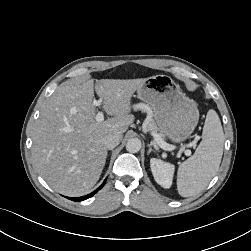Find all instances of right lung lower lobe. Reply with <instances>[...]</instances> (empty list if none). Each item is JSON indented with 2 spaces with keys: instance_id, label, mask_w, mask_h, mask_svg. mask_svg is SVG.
<instances>
[{
  "instance_id": "obj_1",
  "label": "right lung lower lobe",
  "mask_w": 251,
  "mask_h": 251,
  "mask_svg": "<svg viewBox=\"0 0 251 251\" xmlns=\"http://www.w3.org/2000/svg\"><path fill=\"white\" fill-rule=\"evenodd\" d=\"M105 182H106V179L104 180L103 184L97 190H95L94 192H92V193H90V194H88L86 196L77 197V198H70V197H67V198L70 199V200H72V201L86 200V199L92 197L96 192H98L104 186Z\"/></svg>"
}]
</instances>
